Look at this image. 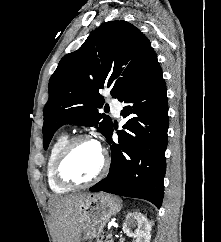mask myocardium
<instances>
[{
    "label": "myocardium",
    "instance_id": "1",
    "mask_svg": "<svg viewBox=\"0 0 221 242\" xmlns=\"http://www.w3.org/2000/svg\"><path fill=\"white\" fill-rule=\"evenodd\" d=\"M82 141L95 142L99 146L100 151H101V157H102L101 165H100V168L97 171V173L90 179L83 180V181H76V180L68 178L64 175L63 167H64V164H65L70 152L74 148V146L77 143L82 142ZM108 167H109V158H108V154H107L106 150L91 136L86 135V134H80V135H76V136L70 138L66 142V144L63 146V148L59 152V154L56 158V161L54 163L53 173H54V177H55L56 181L60 185L68 187V188H81V187H86L91 184H94L97 181H99L100 179H102V177L106 174Z\"/></svg>",
    "mask_w": 221,
    "mask_h": 242
}]
</instances>
